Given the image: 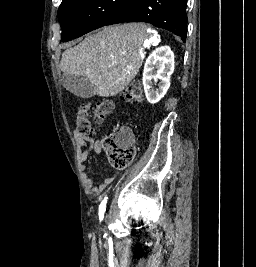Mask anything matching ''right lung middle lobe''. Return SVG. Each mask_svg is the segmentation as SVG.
I'll return each mask as SVG.
<instances>
[{
  "label": "right lung middle lobe",
  "instance_id": "obj_1",
  "mask_svg": "<svg viewBox=\"0 0 256 267\" xmlns=\"http://www.w3.org/2000/svg\"><path fill=\"white\" fill-rule=\"evenodd\" d=\"M138 0H63L58 9L62 41L78 38L130 13Z\"/></svg>",
  "mask_w": 256,
  "mask_h": 267
}]
</instances>
